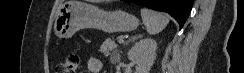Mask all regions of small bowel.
<instances>
[{"instance_id": "obj_1", "label": "small bowel", "mask_w": 244, "mask_h": 73, "mask_svg": "<svg viewBox=\"0 0 244 73\" xmlns=\"http://www.w3.org/2000/svg\"><path fill=\"white\" fill-rule=\"evenodd\" d=\"M89 73H100L102 70V62L100 59L92 57L87 62Z\"/></svg>"}]
</instances>
